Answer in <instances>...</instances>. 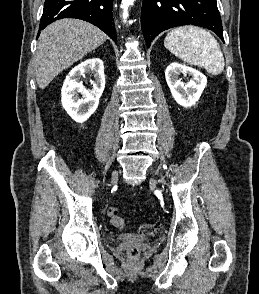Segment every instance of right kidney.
Instances as JSON below:
<instances>
[{"label": "right kidney", "instance_id": "ca27d5eb", "mask_svg": "<svg viewBox=\"0 0 259 294\" xmlns=\"http://www.w3.org/2000/svg\"><path fill=\"white\" fill-rule=\"evenodd\" d=\"M86 73L94 75L92 90H87L81 77ZM105 88V75L103 61L99 58H90L74 67L66 76L62 91V106L69 116L78 123L85 122L97 109L99 99ZM82 94V98L78 97Z\"/></svg>", "mask_w": 259, "mask_h": 294}]
</instances>
